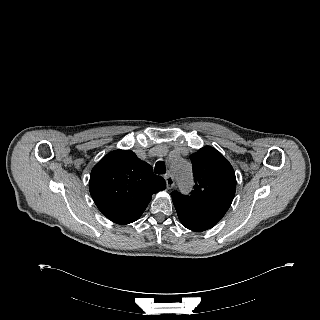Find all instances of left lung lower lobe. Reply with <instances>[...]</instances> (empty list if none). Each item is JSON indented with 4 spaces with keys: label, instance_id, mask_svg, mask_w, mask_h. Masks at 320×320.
Listing matches in <instances>:
<instances>
[{
    "label": "left lung lower lobe",
    "instance_id": "0a47b994",
    "mask_svg": "<svg viewBox=\"0 0 320 320\" xmlns=\"http://www.w3.org/2000/svg\"><path fill=\"white\" fill-rule=\"evenodd\" d=\"M179 220L182 225L192 231H205L215 226L224 214L202 208L180 199H174Z\"/></svg>",
    "mask_w": 320,
    "mask_h": 320
}]
</instances>
